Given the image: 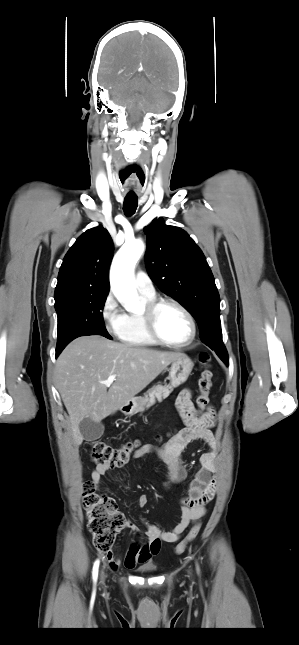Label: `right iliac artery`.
<instances>
[{
	"instance_id": "1",
	"label": "right iliac artery",
	"mask_w": 299,
	"mask_h": 645,
	"mask_svg": "<svg viewBox=\"0 0 299 645\" xmlns=\"http://www.w3.org/2000/svg\"><path fill=\"white\" fill-rule=\"evenodd\" d=\"M99 560H96L93 566V580L96 582L98 576Z\"/></svg>"
}]
</instances>
